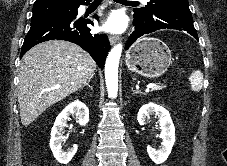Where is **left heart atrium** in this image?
<instances>
[{
  "label": "left heart atrium",
  "mask_w": 227,
  "mask_h": 166,
  "mask_svg": "<svg viewBox=\"0 0 227 166\" xmlns=\"http://www.w3.org/2000/svg\"><path fill=\"white\" fill-rule=\"evenodd\" d=\"M103 28L108 32L118 33L126 28V18L123 14L113 13L104 23Z\"/></svg>",
  "instance_id": "left-heart-atrium-1"
}]
</instances>
